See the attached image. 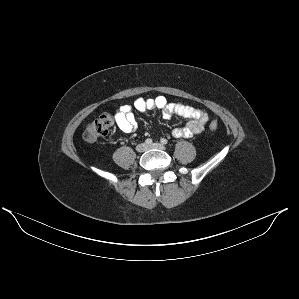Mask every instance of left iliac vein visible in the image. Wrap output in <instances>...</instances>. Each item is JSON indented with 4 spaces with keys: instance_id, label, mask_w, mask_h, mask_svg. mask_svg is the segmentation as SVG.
Here are the masks:
<instances>
[{
    "instance_id": "left-iliac-vein-1",
    "label": "left iliac vein",
    "mask_w": 299,
    "mask_h": 299,
    "mask_svg": "<svg viewBox=\"0 0 299 299\" xmlns=\"http://www.w3.org/2000/svg\"><path fill=\"white\" fill-rule=\"evenodd\" d=\"M147 149H160L165 150V146L160 143H153L147 146Z\"/></svg>"
}]
</instances>
